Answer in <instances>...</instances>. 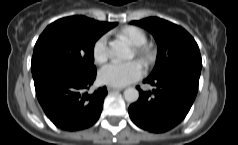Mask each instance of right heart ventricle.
<instances>
[{"mask_svg": "<svg viewBox=\"0 0 238 145\" xmlns=\"http://www.w3.org/2000/svg\"><path fill=\"white\" fill-rule=\"evenodd\" d=\"M121 37L130 41L133 45L142 44L145 40V34L136 27H126L119 32Z\"/></svg>", "mask_w": 238, "mask_h": 145, "instance_id": "right-heart-ventricle-1", "label": "right heart ventricle"}]
</instances>
